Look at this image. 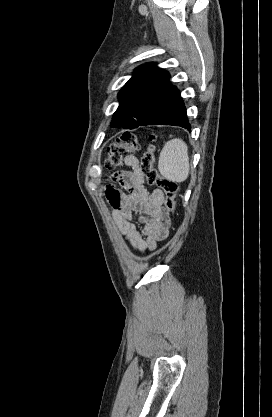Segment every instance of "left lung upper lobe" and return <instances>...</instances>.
Here are the masks:
<instances>
[{
  "label": "left lung upper lobe",
  "instance_id": "1",
  "mask_svg": "<svg viewBox=\"0 0 272 417\" xmlns=\"http://www.w3.org/2000/svg\"><path fill=\"white\" fill-rule=\"evenodd\" d=\"M118 94L119 107L111 126L133 129L142 124L175 88L169 83V73L154 63L139 66Z\"/></svg>",
  "mask_w": 272,
  "mask_h": 417
}]
</instances>
